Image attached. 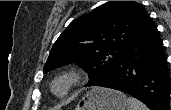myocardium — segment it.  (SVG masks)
Masks as SVG:
<instances>
[{
  "mask_svg": "<svg viewBox=\"0 0 171 110\" xmlns=\"http://www.w3.org/2000/svg\"><path fill=\"white\" fill-rule=\"evenodd\" d=\"M86 80L87 76L81 69L70 68L54 76L49 85L50 92L58 98H64Z\"/></svg>",
  "mask_w": 171,
  "mask_h": 110,
  "instance_id": "f54148a6",
  "label": "myocardium"
}]
</instances>
